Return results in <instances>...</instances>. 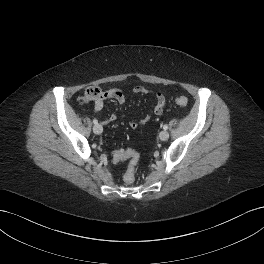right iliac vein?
<instances>
[{"label":"right iliac vein","instance_id":"obj_1","mask_svg":"<svg viewBox=\"0 0 264 264\" xmlns=\"http://www.w3.org/2000/svg\"><path fill=\"white\" fill-rule=\"evenodd\" d=\"M102 131H103V127H102L100 124H96V125H94V127H93V132H94L95 134H101Z\"/></svg>","mask_w":264,"mask_h":264}]
</instances>
